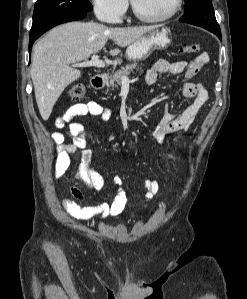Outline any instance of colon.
I'll use <instances>...</instances> for the list:
<instances>
[{
    "instance_id": "5ec220e1",
    "label": "colon",
    "mask_w": 247,
    "mask_h": 299,
    "mask_svg": "<svg viewBox=\"0 0 247 299\" xmlns=\"http://www.w3.org/2000/svg\"><path fill=\"white\" fill-rule=\"evenodd\" d=\"M201 50L202 47L198 43L185 45L182 48V52L185 54H195V53H199ZM84 94H85V86L83 84H76L68 90V96L72 100H80L84 97Z\"/></svg>"
}]
</instances>
